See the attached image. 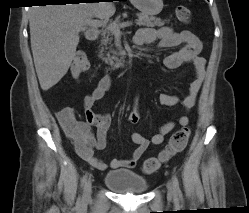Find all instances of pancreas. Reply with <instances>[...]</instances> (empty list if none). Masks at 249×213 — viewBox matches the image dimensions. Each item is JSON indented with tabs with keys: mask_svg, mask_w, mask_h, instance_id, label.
I'll return each mask as SVG.
<instances>
[{
	"mask_svg": "<svg viewBox=\"0 0 249 213\" xmlns=\"http://www.w3.org/2000/svg\"><path fill=\"white\" fill-rule=\"evenodd\" d=\"M138 17V20L136 21V24L138 26H148V27H161L164 26L165 23L169 22V20H162L160 18H156L154 16H149L143 13H137L136 14ZM120 18L117 17L110 25H119L120 24ZM113 35L114 32L111 30V28H105L101 30V46H105L101 48L100 53H99V57L105 61V63L110 64V65H114V61H118V57H117V52L114 50H109V52L106 53V55L104 56L103 52L104 50H107L108 44H111L112 40H113ZM111 53L113 55H111Z\"/></svg>",
	"mask_w": 249,
	"mask_h": 213,
	"instance_id": "pancreas-1",
	"label": "pancreas"
}]
</instances>
